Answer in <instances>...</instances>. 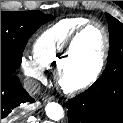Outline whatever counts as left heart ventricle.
Wrapping results in <instances>:
<instances>
[{"label":"left heart ventricle","mask_w":123,"mask_h":123,"mask_svg":"<svg viewBox=\"0 0 123 123\" xmlns=\"http://www.w3.org/2000/svg\"><path fill=\"white\" fill-rule=\"evenodd\" d=\"M104 45L102 31L96 25L89 27L77 40L70 65V75L84 79L94 70Z\"/></svg>","instance_id":"b2bd125f"}]
</instances>
